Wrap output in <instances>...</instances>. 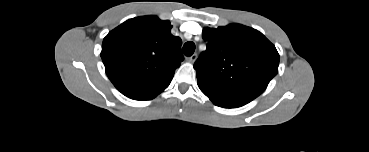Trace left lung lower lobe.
<instances>
[{"label":"left lung lower lobe","instance_id":"1","mask_svg":"<svg viewBox=\"0 0 369 152\" xmlns=\"http://www.w3.org/2000/svg\"><path fill=\"white\" fill-rule=\"evenodd\" d=\"M200 90L217 106L223 107V108H236L243 106L252 99L240 96L237 94H231L226 92H221L214 90L212 88L204 87L199 85Z\"/></svg>","mask_w":369,"mask_h":152}]
</instances>
